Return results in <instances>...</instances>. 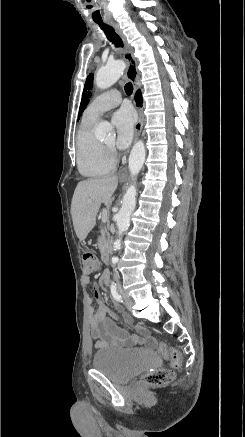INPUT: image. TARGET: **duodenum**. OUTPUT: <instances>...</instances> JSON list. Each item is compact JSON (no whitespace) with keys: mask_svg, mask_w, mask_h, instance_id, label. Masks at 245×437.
Masks as SVG:
<instances>
[{"mask_svg":"<svg viewBox=\"0 0 245 437\" xmlns=\"http://www.w3.org/2000/svg\"><path fill=\"white\" fill-rule=\"evenodd\" d=\"M101 256H102V260H103L105 263L109 262V252H108V250H107L106 248H102V250H101ZM102 276H103L104 281L107 282L108 279H109V274H108V272L105 271V272L103 273Z\"/></svg>","mask_w":245,"mask_h":437,"instance_id":"duodenum-1","label":"duodenum"}]
</instances>
